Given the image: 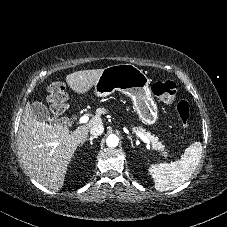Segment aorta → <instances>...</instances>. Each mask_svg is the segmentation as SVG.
I'll use <instances>...</instances> for the list:
<instances>
[{"label": "aorta", "mask_w": 227, "mask_h": 227, "mask_svg": "<svg viewBox=\"0 0 227 227\" xmlns=\"http://www.w3.org/2000/svg\"><path fill=\"white\" fill-rule=\"evenodd\" d=\"M118 143H119V138L114 134L109 135L106 139V144L108 145V147H111V148L116 147Z\"/></svg>", "instance_id": "aorta-1"}]
</instances>
